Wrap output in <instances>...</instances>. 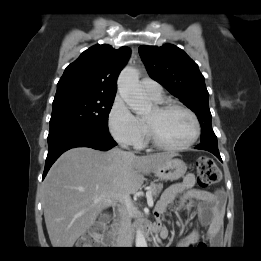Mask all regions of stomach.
Segmentation results:
<instances>
[{
	"label": "stomach",
	"instance_id": "0dacf381",
	"mask_svg": "<svg viewBox=\"0 0 261 261\" xmlns=\"http://www.w3.org/2000/svg\"><path fill=\"white\" fill-rule=\"evenodd\" d=\"M187 166L179 158L170 157L153 169L154 174L161 180L174 181L184 176Z\"/></svg>",
	"mask_w": 261,
	"mask_h": 261
}]
</instances>
